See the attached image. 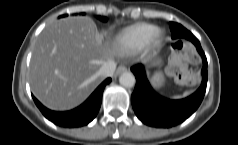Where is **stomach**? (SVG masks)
<instances>
[{
	"mask_svg": "<svg viewBox=\"0 0 238 145\" xmlns=\"http://www.w3.org/2000/svg\"><path fill=\"white\" fill-rule=\"evenodd\" d=\"M151 83L155 88L162 87L165 83L164 75L161 72H156L151 78Z\"/></svg>",
	"mask_w": 238,
	"mask_h": 145,
	"instance_id": "0dacf381",
	"label": "stomach"
}]
</instances>
